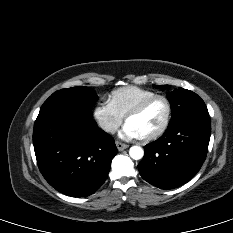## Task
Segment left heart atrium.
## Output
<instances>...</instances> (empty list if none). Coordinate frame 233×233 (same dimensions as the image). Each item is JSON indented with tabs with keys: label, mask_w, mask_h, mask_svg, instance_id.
<instances>
[{
	"label": "left heart atrium",
	"mask_w": 233,
	"mask_h": 233,
	"mask_svg": "<svg viewBox=\"0 0 233 233\" xmlns=\"http://www.w3.org/2000/svg\"><path fill=\"white\" fill-rule=\"evenodd\" d=\"M120 137L125 139H138L141 136L132 125L126 123L120 132Z\"/></svg>",
	"instance_id": "1"
}]
</instances>
